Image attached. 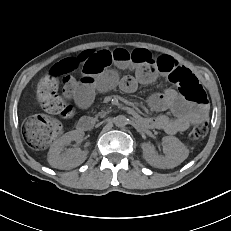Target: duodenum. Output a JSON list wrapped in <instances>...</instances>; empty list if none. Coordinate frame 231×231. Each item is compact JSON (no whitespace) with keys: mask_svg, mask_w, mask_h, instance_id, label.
<instances>
[{"mask_svg":"<svg viewBox=\"0 0 231 231\" xmlns=\"http://www.w3.org/2000/svg\"><path fill=\"white\" fill-rule=\"evenodd\" d=\"M128 111L132 114V116L138 117L137 113L134 110L129 109ZM91 126H92V120L89 117L81 118L77 124L78 130L81 132L88 131L91 128Z\"/></svg>","mask_w":231,"mask_h":231,"instance_id":"410a0bca","label":"duodenum"}]
</instances>
